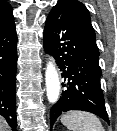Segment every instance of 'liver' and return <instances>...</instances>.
Wrapping results in <instances>:
<instances>
[{
	"mask_svg": "<svg viewBox=\"0 0 117 131\" xmlns=\"http://www.w3.org/2000/svg\"><path fill=\"white\" fill-rule=\"evenodd\" d=\"M0 131H8V125L2 117H0Z\"/></svg>",
	"mask_w": 117,
	"mask_h": 131,
	"instance_id": "6515ba94",
	"label": "liver"
}]
</instances>
